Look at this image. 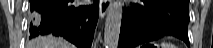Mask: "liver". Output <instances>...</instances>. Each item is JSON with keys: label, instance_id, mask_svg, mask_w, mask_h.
<instances>
[{"label": "liver", "instance_id": "liver-1", "mask_svg": "<svg viewBox=\"0 0 213 48\" xmlns=\"http://www.w3.org/2000/svg\"><path fill=\"white\" fill-rule=\"evenodd\" d=\"M27 48H75L74 45L62 38L53 36L38 37L30 41Z\"/></svg>", "mask_w": 213, "mask_h": 48}]
</instances>
